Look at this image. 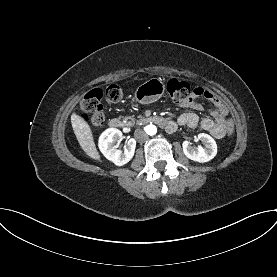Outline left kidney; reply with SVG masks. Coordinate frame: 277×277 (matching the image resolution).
Wrapping results in <instances>:
<instances>
[{"label":"left kidney","instance_id":"left-kidney-1","mask_svg":"<svg viewBox=\"0 0 277 277\" xmlns=\"http://www.w3.org/2000/svg\"><path fill=\"white\" fill-rule=\"evenodd\" d=\"M198 139L204 144V147H192L191 143L184 141L183 152L185 156L193 161L205 163L213 159L217 154V144L215 140L208 134L200 133Z\"/></svg>","mask_w":277,"mask_h":277}]
</instances>
